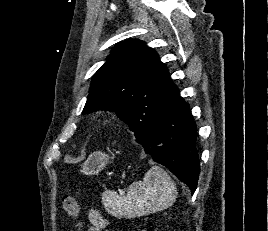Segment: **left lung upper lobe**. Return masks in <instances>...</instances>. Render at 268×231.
I'll use <instances>...</instances> for the list:
<instances>
[{"label":"left lung upper lobe","mask_w":268,"mask_h":231,"mask_svg":"<svg viewBox=\"0 0 268 231\" xmlns=\"http://www.w3.org/2000/svg\"><path fill=\"white\" fill-rule=\"evenodd\" d=\"M179 96L156 51L140 40H128L117 45L94 74L83 113L114 111L139 139Z\"/></svg>","instance_id":"obj_1"}]
</instances>
